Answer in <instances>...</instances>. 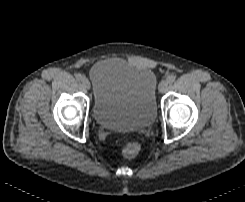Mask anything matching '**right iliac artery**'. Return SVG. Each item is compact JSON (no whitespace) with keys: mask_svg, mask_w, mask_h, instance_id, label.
<instances>
[{"mask_svg":"<svg viewBox=\"0 0 245 202\" xmlns=\"http://www.w3.org/2000/svg\"><path fill=\"white\" fill-rule=\"evenodd\" d=\"M75 77L77 80H81L83 78V76L81 74H76Z\"/></svg>","mask_w":245,"mask_h":202,"instance_id":"82829eb1","label":"right iliac artery"}]
</instances>
